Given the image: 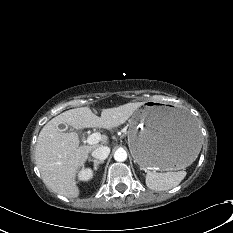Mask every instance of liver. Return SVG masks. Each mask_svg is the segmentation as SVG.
<instances>
[{"instance_id": "obj_1", "label": "liver", "mask_w": 233, "mask_h": 233, "mask_svg": "<svg viewBox=\"0 0 233 233\" xmlns=\"http://www.w3.org/2000/svg\"><path fill=\"white\" fill-rule=\"evenodd\" d=\"M143 104L144 102L127 103L103 109L100 117L90 108L81 107L65 111L51 119L40 131L35 151L36 165L46 187L68 198L78 197L76 174L89 153L100 146H79L77 133L62 132L60 124L70 125L76 130L94 127L111 129L125 123ZM106 143L107 137H103L102 144Z\"/></svg>"}]
</instances>
